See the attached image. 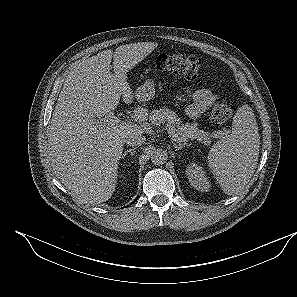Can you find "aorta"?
Wrapping results in <instances>:
<instances>
[{
    "label": "aorta",
    "mask_w": 297,
    "mask_h": 297,
    "mask_svg": "<svg viewBox=\"0 0 297 297\" xmlns=\"http://www.w3.org/2000/svg\"><path fill=\"white\" fill-rule=\"evenodd\" d=\"M167 159H168V154L163 149L157 148L151 152V161L156 165H161L166 163Z\"/></svg>",
    "instance_id": "1"
}]
</instances>
